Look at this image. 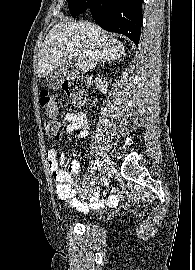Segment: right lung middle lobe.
<instances>
[{
	"label": "right lung middle lobe",
	"mask_w": 195,
	"mask_h": 270,
	"mask_svg": "<svg viewBox=\"0 0 195 270\" xmlns=\"http://www.w3.org/2000/svg\"><path fill=\"white\" fill-rule=\"evenodd\" d=\"M71 15L76 17L88 8V0H67Z\"/></svg>",
	"instance_id": "obj_1"
}]
</instances>
